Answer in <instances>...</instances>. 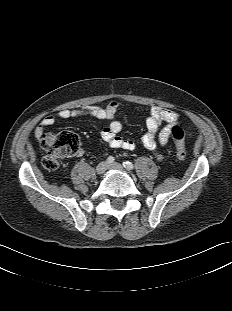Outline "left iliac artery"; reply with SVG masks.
I'll use <instances>...</instances> for the list:
<instances>
[{
  "label": "left iliac artery",
  "instance_id": "1",
  "mask_svg": "<svg viewBox=\"0 0 232 311\" xmlns=\"http://www.w3.org/2000/svg\"><path fill=\"white\" fill-rule=\"evenodd\" d=\"M123 166L128 170H132L134 168L133 164L129 161L123 162Z\"/></svg>",
  "mask_w": 232,
  "mask_h": 311
}]
</instances>
